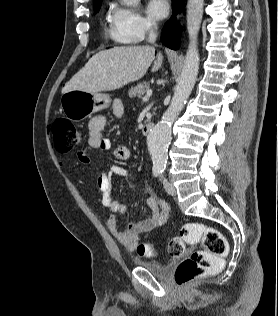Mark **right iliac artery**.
Instances as JSON below:
<instances>
[{
    "label": "right iliac artery",
    "instance_id": "right-iliac-artery-1",
    "mask_svg": "<svg viewBox=\"0 0 278 316\" xmlns=\"http://www.w3.org/2000/svg\"><path fill=\"white\" fill-rule=\"evenodd\" d=\"M162 172H163V169H161V168H154V169H153V175H154L155 177H157L158 175H160Z\"/></svg>",
    "mask_w": 278,
    "mask_h": 316
}]
</instances>
